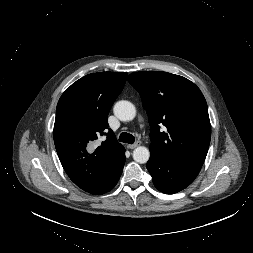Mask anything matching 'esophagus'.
I'll use <instances>...</instances> for the list:
<instances>
[{"label":"esophagus","instance_id":"1","mask_svg":"<svg viewBox=\"0 0 253 253\" xmlns=\"http://www.w3.org/2000/svg\"><path fill=\"white\" fill-rule=\"evenodd\" d=\"M140 145H141V142H140V141H137V142H135L134 144L128 145V148H129V149H134V148H136V147H138V146H140Z\"/></svg>","mask_w":253,"mask_h":253}]
</instances>
